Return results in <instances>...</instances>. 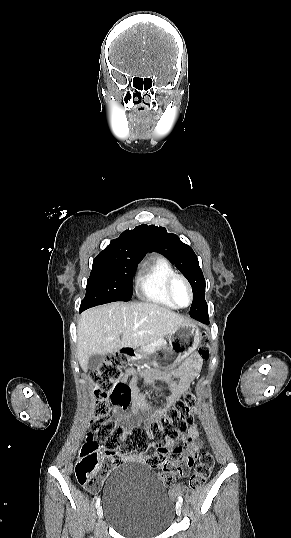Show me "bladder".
I'll return each instance as SVG.
<instances>
[{"mask_svg":"<svg viewBox=\"0 0 291 538\" xmlns=\"http://www.w3.org/2000/svg\"><path fill=\"white\" fill-rule=\"evenodd\" d=\"M104 518L127 538H156L172 524L174 505L166 487L149 468L127 463L108 477Z\"/></svg>","mask_w":291,"mask_h":538,"instance_id":"1","label":"bladder"}]
</instances>
